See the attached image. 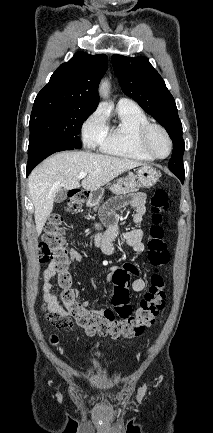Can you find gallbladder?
Returning a JSON list of instances; mask_svg holds the SVG:
<instances>
[{
  "instance_id": "obj_1",
  "label": "gallbladder",
  "mask_w": 213,
  "mask_h": 433,
  "mask_svg": "<svg viewBox=\"0 0 213 433\" xmlns=\"http://www.w3.org/2000/svg\"><path fill=\"white\" fill-rule=\"evenodd\" d=\"M66 198H67V191H66V189H61V190H59V191L56 193L55 198H54V201H55L56 203H61V202H63Z\"/></svg>"
}]
</instances>
